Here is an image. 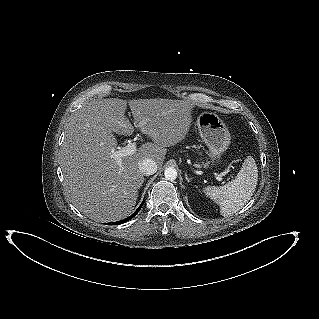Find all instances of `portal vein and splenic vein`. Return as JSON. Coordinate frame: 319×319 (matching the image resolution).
<instances>
[{
	"mask_svg": "<svg viewBox=\"0 0 319 319\" xmlns=\"http://www.w3.org/2000/svg\"><path fill=\"white\" fill-rule=\"evenodd\" d=\"M137 152V145L136 142H129L127 146L118 148L117 151L114 152V157L116 159L117 164L122 167V158L127 157L130 155H133L134 153ZM215 177L218 181L222 180V175L221 174H215Z\"/></svg>",
	"mask_w": 319,
	"mask_h": 319,
	"instance_id": "portal-vein-and-splenic-vein-1",
	"label": "portal vein and splenic vein"
}]
</instances>
